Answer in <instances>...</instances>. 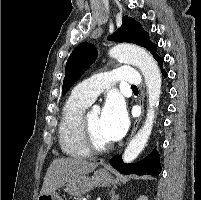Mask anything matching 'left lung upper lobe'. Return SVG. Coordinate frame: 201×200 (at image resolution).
I'll return each instance as SVG.
<instances>
[{
  "label": "left lung upper lobe",
  "mask_w": 201,
  "mask_h": 200,
  "mask_svg": "<svg viewBox=\"0 0 201 200\" xmlns=\"http://www.w3.org/2000/svg\"><path fill=\"white\" fill-rule=\"evenodd\" d=\"M115 42H130L145 47L154 58L157 45L152 43L147 32L141 24L127 15L123 17L121 27L108 37ZM97 49L93 44L83 42L79 44L70 54L65 68V77L63 80V95L73 86V84L82 76V74L95 62Z\"/></svg>",
  "instance_id": "obj_1"
}]
</instances>
